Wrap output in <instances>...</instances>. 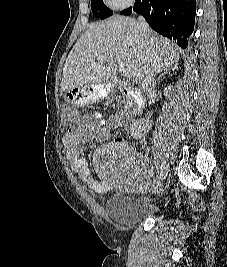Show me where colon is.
Masks as SVG:
<instances>
[{"label": "colon", "instance_id": "colon-1", "mask_svg": "<svg viewBox=\"0 0 227 267\" xmlns=\"http://www.w3.org/2000/svg\"><path fill=\"white\" fill-rule=\"evenodd\" d=\"M83 114H75L71 104H66L62 111V122L64 125L71 124L75 119H83Z\"/></svg>", "mask_w": 227, "mask_h": 267}]
</instances>
